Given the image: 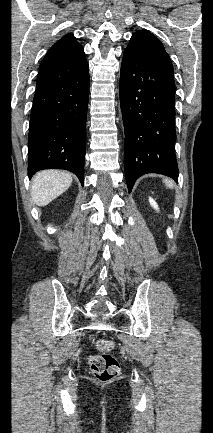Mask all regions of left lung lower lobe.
I'll return each mask as SVG.
<instances>
[{
    "instance_id": "1",
    "label": "left lung lower lobe",
    "mask_w": 213,
    "mask_h": 433,
    "mask_svg": "<svg viewBox=\"0 0 213 433\" xmlns=\"http://www.w3.org/2000/svg\"><path fill=\"white\" fill-rule=\"evenodd\" d=\"M119 92L128 191L137 178L147 173L163 174L177 181L173 72L126 48Z\"/></svg>"
}]
</instances>
